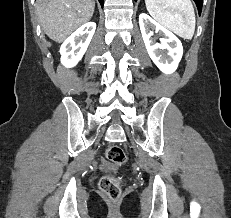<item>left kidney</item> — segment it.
<instances>
[{
	"instance_id": "left-kidney-1",
	"label": "left kidney",
	"mask_w": 231,
	"mask_h": 218,
	"mask_svg": "<svg viewBox=\"0 0 231 218\" xmlns=\"http://www.w3.org/2000/svg\"><path fill=\"white\" fill-rule=\"evenodd\" d=\"M139 25L147 52L152 61L163 73H173L183 55L180 40L146 13L139 15ZM150 28H154L156 33L164 37L160 40L161 43H156V38L153 37ZM164 50H167V52Z\"/></svg>"
}]
</instances>
